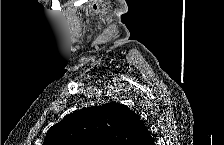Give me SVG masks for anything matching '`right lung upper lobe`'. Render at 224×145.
I'll return each instance as SVG.
<instances>
[{
  "label": "right lung upper lobe",
  "mask_w": 224,
  "mask_h": 145,
  "mask_svg": "<svg viewBox=\"0 0 224 145\" xmlns=\"http://www.w3.org/2000/svg\"><path fill=\"white\" fill-rule=\"evenodd\" d=\"M43 145H154L140 117L128 106L83 108L52 126Z\"/></svg>",
  "instance_id": "obj_1"
}]
</instances>
